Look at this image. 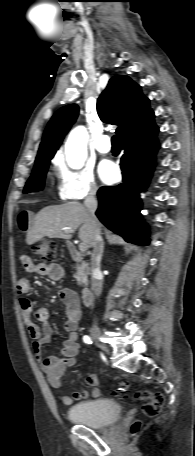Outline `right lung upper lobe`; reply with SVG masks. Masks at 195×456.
Returning <instances> with one entry per match:
<instances>
[{"label":"right lung upper lobe","mask_w":195,"mask_h":456,"mask_svg":"<svg viewBox=\"0 0 195 456\" xmlns=\"http://www.w3.org/2000/svg\"><path fill=\"white\" fill-rule=\"evenodd\" d=\"M78 110L76 104H70L54 114L44 132L35 163L54 156L64 135L75 122ZM97 112L103 122L118 125L116 132L122 140L154 123L149 99L143 96L139 85L122 75L110 79L98 98Z\"/></svg>","instance_id":"1"}]
</instances>
